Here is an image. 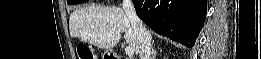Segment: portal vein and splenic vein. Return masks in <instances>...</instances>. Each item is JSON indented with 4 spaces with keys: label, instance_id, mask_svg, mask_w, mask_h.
Listing matches in <instances>:
<instances>
[{
    "label": "portal vein and splenic vein",
    "instance_id": "obj_1",
    "mask_svg": "<svg viewBox=\"0 0 261 59\" xmlns=\"http://www.w3.org/2000/svg\"><path fill=\"white\" fill-rule=\"evenodd\" d=\"M125 53L128 55V56H132L134 54V50L132 47L128 46L125 48Z\"/></svg>",
    "mask_w": 261,
    "mask_h": 59
}]
</instances>
